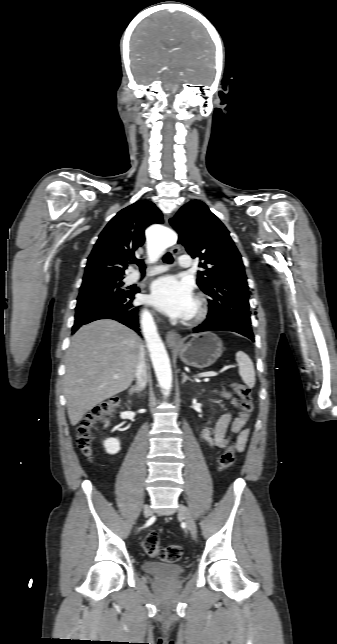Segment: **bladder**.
Listing matches in <instances>:
<instances>
[{"label": "bladder", "mask_w": 337, "mask_h": 644, "mask_svg": "<svg viewBox=\"0 0 337 644\" xmlns=\"http://www.w3.org/2000/svg\"><path fill=\"white\" fill-rule=\"evenodd\" d=\"M145 573L158 578H177L185 573L186 567L178 563L147 560L142 564Z\"/></svg>", "instance_id": "1"}]
</instances>
